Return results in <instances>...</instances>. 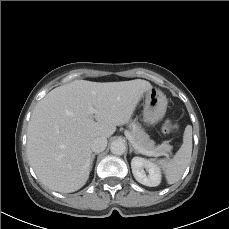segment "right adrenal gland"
Wrapping results in <instances>:
<instances>
[{"mask_svg": "<svg viewBox=\"0 0 229 229\" xmlns=\"http://www.w3.org/2000/svg\"><path fill=\"white\" fill-rule=\"evenodd\" d=\"M96 155H98V153H94L91 155V168H92V164H93V161H94Z\"/></svg>", "mask_w": 229, "mask_h": 229, "instance_id": "2a0ac1e0", "label": "right adrenal gland"}]
</instances>
